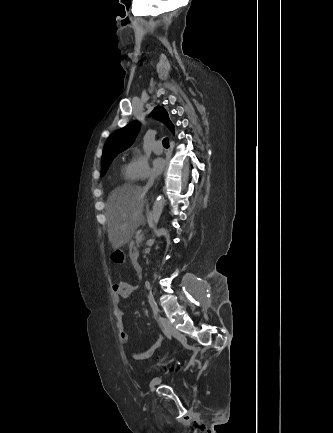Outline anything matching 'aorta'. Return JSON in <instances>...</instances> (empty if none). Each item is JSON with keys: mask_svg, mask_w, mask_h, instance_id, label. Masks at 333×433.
<instances>
[{"mask_svg": "<svg viewBox=\"0 0 333 433\" xmlns=\"http://www.w3.org/2000/svg\"><path fill=\"white\" fill-rule=\"evenodd\" d=\"M164 204H165V196L164 195H159L153 204L152 216H151V220L149 222V227L155 233H156V226H157L159 219L161 217ZM154 242H155L154 237H152L148 240V249H147L148 251H150L151 247L154 245Z\"/></svg>", "mask_w": 333, "mask_h": 433, "instance_id": "762f6f07", "label": "aorta"}]
</instances>
